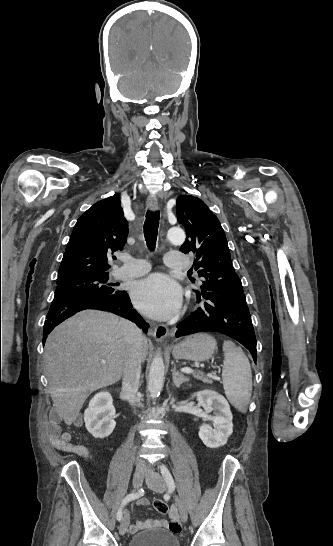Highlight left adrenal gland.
<instances>
[{
	"instance_id": "1",
	"label": "left adrenal gland",
	"mask_w": 333,
	"mask_h": 546,
	"mask_svg": "<svg viewBox=\"0 0 333 546\" xmlns=\"http://www.w3.org/2000/svg\"><path fill=\"white\" fill-rule=\"evenodd\" d=\"M172 379H173L174 385L177 388H179L184 382L189 381V379L187 377H185L183 374H179V372L176 370L175 367L172 370Z\"/></svg>"
}]
</instances>
